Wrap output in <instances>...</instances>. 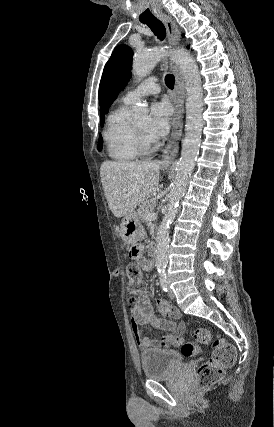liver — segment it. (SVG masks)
<instances>
[{
  "mask_svg": "<svg viewBox=\"0 0 274 427\" xmlns=\"http://www.w3.org/2000/svg\"><path fill=\"white\" fill-rule=\"evenodd\" d=\"M100 178L105 198L116 217L133 214L135 208L155 194L160 164L152 162H103Z\"/></svg>",
  "mask_w": 274,
  "mask_h": 427,
  "instance_id": "1",
  "label": "liver"
}]
</instances>
